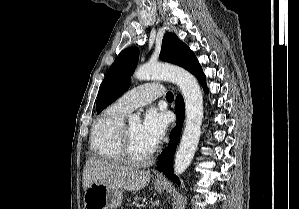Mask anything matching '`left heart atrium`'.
Segmentation results:
<instances>
[{
	"instance_id": "1",
	"label": "left heart atrium",
	"mask_w": 299,
	"mask_h": 209,
	"mask_svg": "<svg viewBox=\"0 0 299 209\" xmlns=\"http://www.w3.org/2000/svg\"><path fill=\"white\" fill-rule=\"evenodd\" d=\"M167 125L164 113L156 109H150L145 114L143 123L140 125V135L152 149H155L163 139Z\"/></svg>"
}]
</instances>
